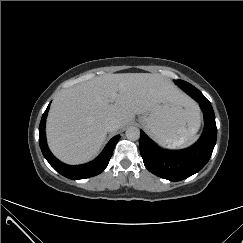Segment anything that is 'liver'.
<instances>
[{
	"label": "liver",
	"instance_id": "6515ba94",
	"mask_svg": "<svg viewBox=\"0 0 243 243\" xmlns=\"http://www.w3.org/2000/svg\"><path fill=\"white\" fill-rule=\"evenodd\" d=\"M161 102L188 104L190 99L157 73L105 74L64 89L48 114L49 148L67 164L87 162L106 140L108 120H118L122 128Z\"/></svg>",
	"mask_w": 243,
	"mask_h": 243
}]
</instances>
